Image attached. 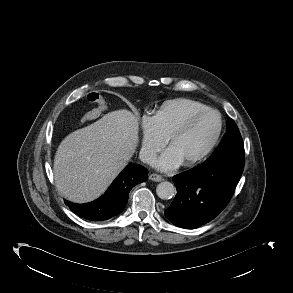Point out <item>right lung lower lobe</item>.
I'll return each instance as SVG.
<instances>
[{"instance_id": "right-lung-lower-lobe-1", "label": "right lung lower lobe", "mask_w": 293, "mask_h": 293, "mask_svg": "<svg viewBox=\"0 0 293 293\" xmlns=\"http://www.w3.org/2000/svg\"><path fill=\"white\" fill-rule=\"evenodd\" d=\"M147 178L148 170L146 168L138 164H130L99 199L86 204L65 202L72 212L82 218L91 221L106 220L123 211L130 190L135 185L145 182Z\"/></svg>"}]
</instances>
